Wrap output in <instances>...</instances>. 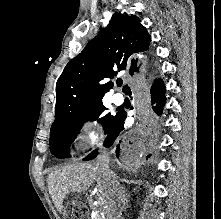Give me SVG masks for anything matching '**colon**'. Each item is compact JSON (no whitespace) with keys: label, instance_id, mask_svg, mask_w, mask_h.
Listing matches in <instances>:
<instances>
[{"label":"colon","instance_id":"obj_1","mask_svg":"<svg viewBox=\"0 0 221 219\" xmlns=\"http://www.w3.org/2000/svg\"><path fill=\"white\" fill-rule=\"evenodd\" d=\"M66 210L68 214V219H81L83 216V210L81 206H79L72 200L66 203Z\"/></svg>","mask_w":221,"mask_h":219}]
</instances>
